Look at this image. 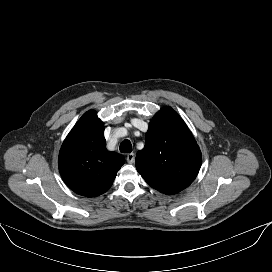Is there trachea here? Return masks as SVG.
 Here are the masks:
<instances>
[{"mask_svg":"<svg viewBox=\"0 0 272 272\" xmlns=\"http://www.w3.org/2000/svg\"><path fill=\"white\" fill-rule=\"evenodd\" d=\"M132 150V145L129 140H124L120 145V151L122 153H130Z\"/></svg>","mask_w":272,"mask_h":272,"instance_id":"trachea-1","label":"trachea"}]
</instances>
